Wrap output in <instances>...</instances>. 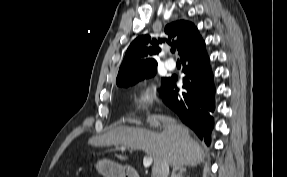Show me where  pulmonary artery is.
<instances>
[{
	"label": "pulmonary artery",
	"instance_id": "pulmonary-artery-1",
	"mask_svg": "<svg viewBox=\"0 0 287 177\" xmlns=\"http://www.w3.org/2000/svg\"><path fill=\"white\" fill-rule=\"evenodd\" d=\"M165 66L168 70L172 71L175 69L176 64L172 59H169L166 61Z\"/></svg>",
	"mask_w": 287,
	"mask_h": 177
}]
</instances>
